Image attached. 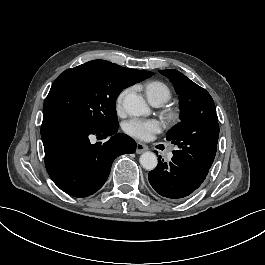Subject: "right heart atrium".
Listing matches in <instances>:
<instances>
[{"mask_svg":"<svg viewBox=\"0 0 265 265\" xmlns=\"http://www.w3.org/2000/svg\"><path fill=\"white\" fill-rule=\"evenodd\" d=\"M129 92L126 89H123L116 103V116L119 119H124L127 116V111L125 109L126 99L128 98Z\"/></svg>","mask_w":265,"mask_h":265,"instance_id":"obj_1","label":"right heart atrium"}]
</instances>
